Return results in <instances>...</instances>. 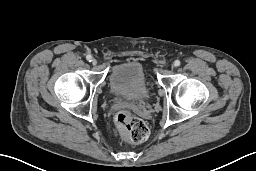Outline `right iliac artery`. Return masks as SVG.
<instances>
[{"mask_svg": "<svg viewBox=\"0 0 256 171\" xmlns=\"http://www.w3.org/2000/svg\"><path fill=\"white\" fill-rule=\"evenodd\" d=\"M86 59H87L89 62H91L92 56H91V55H87V56H86Z\"/></svg>", "mask_w": 256, "mask_h": 171, "instance_id": "right-iliac-artery-1", "label": "right iliac artery"}]
</instances>
